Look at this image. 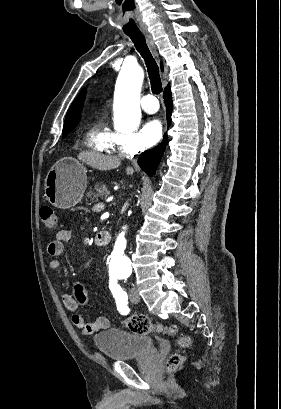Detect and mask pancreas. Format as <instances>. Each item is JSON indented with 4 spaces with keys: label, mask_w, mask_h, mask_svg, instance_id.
Segmentation results:
<instances>
[{
    "label": "pancreas",
    "mask_w": 281,
    "mask_h": 409,
    "mask_svg": "<svg viewBox=\"0 0 281 409\" xmlns=\"http://www.w3.org/2000/svg\"><path fill=\"white\" fill-rule=\"evenodd\" d=\"M109 190L106 186V184H96L94 186V190H89V192H86L87 198H90V200H94V198H103V196H108Z\"/></svg>",
    "instance_id": "pancreas-1"
}]
</instances>
